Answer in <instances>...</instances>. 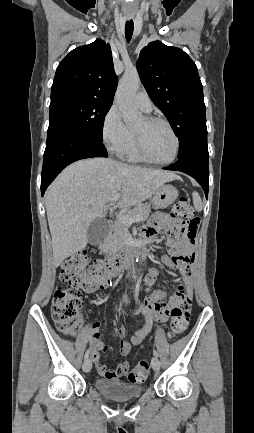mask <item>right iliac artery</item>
<instances>
[{"mask_svg":"<svg viewBox=\"0 0 254 433\" xmlns=\"http://www.w3.org/2000/svg\"><path fill=\"white\" fill-rule=\"evenodd\" d=\"M89 354H90V349H88V350L86 351V353H85V356H84V359H85V360L88 359Z\"/></svg>","mask_w":254,"mask_h":433,"instance_id":"right-iliac-artery-1","label":"right iliac artery"}]
</instances>
